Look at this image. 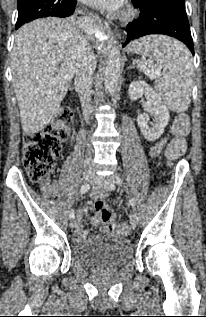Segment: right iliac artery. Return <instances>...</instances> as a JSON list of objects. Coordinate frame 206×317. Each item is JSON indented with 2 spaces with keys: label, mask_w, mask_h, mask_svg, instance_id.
Listing matches in <instances>:
<instances>
[{
  "label": "right iliac artery",
  "mask_w": 206,
  "mask_h": 317,
  "mask_svg": "<svg viewBox=\"0 0 206 317\" xmlns=\"http://www.w3.org/2000/svg\"><path fill=\"white\" fill-rule=\"evenodd\" d=\"M91 187V184L90 183H86V184H83L81 186V189H80V194H85L89 191ZM69 217L70 219H73L75 217V213H74V210H71L70 213H69Z\"/></svg>",
  "instance_id": "1"
}]
</instances>
